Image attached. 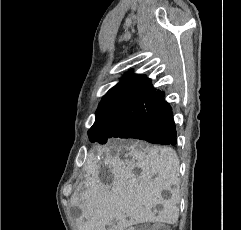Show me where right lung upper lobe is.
I'll list each match as a JSON object with an SVG mask.
<instances>
[{"instance_id": "1", "label": "right lung upper lobe", "mask_w": 241, "mask_h": 230, "mask_svg": "<svg viewBox=\"0 0 241 230\" xmlns=\"http://www.w3.org/2000/svg\"><path fill=\"white\" fill-rule=\"evenodd\" d=\"M158 92L145 75L128 74L102 98L96 111V119L111 111H138Z\"/></svg>"}]
</instances>
